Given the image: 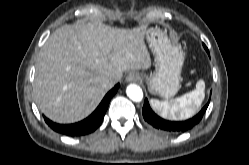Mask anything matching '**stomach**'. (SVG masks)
I'll use <instances>...</instances> for the list:
<instances>
[{
	"instance_id": "0dacf381",
	"label": "stomach",
	"mask_w": 249,
	"mask_h": 165,
	"mask_svg": "<svg viewBox=\"0 0 249 165\" xmlns=\"http://www.w3.org/2000/svg\"><path fill=\"white\" fill-rule=\"evenodd\" d=\"M145 38L155 57V71L149 77L142 75L152 94L171 98L179 91L184 54L173 45L167 35L157 27H148Z\"/></svg>"
}]
</instances>
